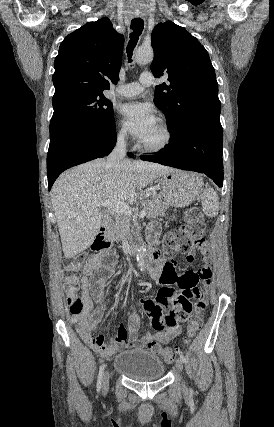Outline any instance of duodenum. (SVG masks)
<instances>
[{
    "label": "duodenum",
    "instance_id": "obj_1",
    "mask_svg": "<svg viewBox=\"0 0 274 427\" xmlns=\"http://www.w3.org/2000/svg\"><path fill=\"white\" fill-rule=\"evenodd\" d=\"M108 223H109V219H106L104 225L100 228V231L94 241V247L97 249L106 247L109 244L106 237V230H107ZM138 251H139V248L135 245H129L126 248V252L129 255H135L138 253ZM145 253L150 264L155 262L160 255L158 248L152 244L146 247Z\"/></svg>",
    "mask_w": 274,
    "mask_h": 427
}]
</instances>
